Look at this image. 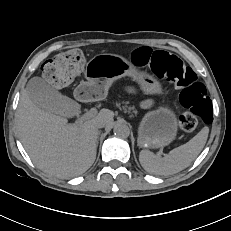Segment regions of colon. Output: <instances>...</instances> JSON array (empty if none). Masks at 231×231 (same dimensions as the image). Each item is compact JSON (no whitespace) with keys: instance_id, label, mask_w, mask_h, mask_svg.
<instances>
[{"instance_id":"1","label":"colon","mask_w":231,"mask_h":231,"mask_svg":"<svg viewBox=\"0 0 231 231\" xmlns=\"http://www.w3.org/2000/svg\"><path fill=\"white\" fill-rule=\"evenodd\" d=\"M131 58L136 65L148 68L157 77L166 78L181 89L179 99L185 112L179 117L178 127L182 132H191L200 122L211 121L212 104L206 88L181 58L149 47L136 49ZM84 66V54L75 49L47 60L42 66V73L51 85L63 87L78 76Z\"/></svg>"}]
</instances>
